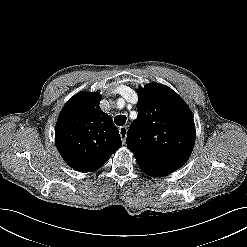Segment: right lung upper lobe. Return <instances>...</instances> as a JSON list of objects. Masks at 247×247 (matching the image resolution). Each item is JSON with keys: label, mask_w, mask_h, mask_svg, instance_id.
<instances>
[{"label": "right lung upper lobe", "mask_w": 247, "mask_h": 247, "mask_svg": "<svg viewBox=\"0 0 247 247\" xmlns=\"http://www.w3.org/2000/svg\"><path fill=\"white\" fill-rule=\"evenodd\" d=\"M100 100L97 92L76 94L64 105L56 123V147L78 172L97 170L122 145L118 128L101 110Z\"/></svg>", "instance_id": "cb5924a9"}]
</instances>
